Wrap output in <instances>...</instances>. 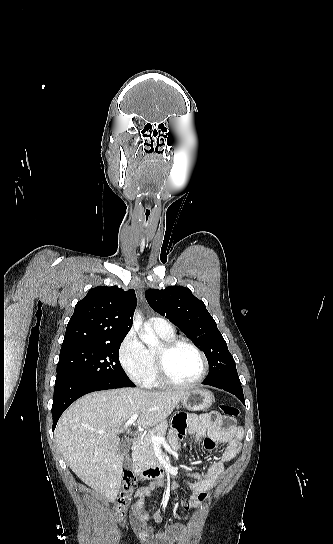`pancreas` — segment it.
Wrapping results in <instances>:
<instances>
[{"instance_id":"obj_1","label":"pancreas","mask_w":333,"mask_h":544,"mask_svg":"<svg viewBox=\"0 0 333 544\" xmlns=\"http://www.w3.org/2000/svg\"><path fill=\"white\" fill-rule=\"evenodd\" d=\"M167 427V421H164L148 431V434L144 439L139 441L137 448L133 452V457L136 461H139L143 465H158V459L154 453V445L151 441V436L164 437L166 435Z\"/></svg>"}]
</instances>
